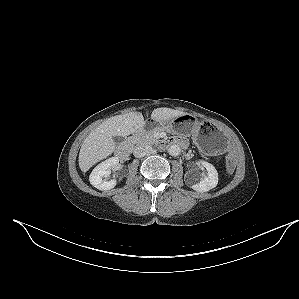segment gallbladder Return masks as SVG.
Returning <instances> with one entry per match:
<instances>
[{
	"mask_svg": "<svg viewBox=\"0 0 299 299\" xmlns=\"http://www.w3.org/2000/svg\"><path fill=\"white\" fill-rule=\"evenodd\" d=\"M113 140L116 144H120L124 139L121 136H113Z\"/></svg>",
	"mask_w": 299,
	"mask_h": 299,
	"instance_id": "bac80fb5",
	"label": "gallbladder"
}]
</instances>
